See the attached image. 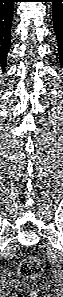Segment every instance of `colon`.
<instances>
[{
    "label": "colon",
    "instance_id": "obj_1",
    "mask_svg": "<svg viewBox=\"0 0 63 297\" xmlns=\"http://www.w3.org/2000/svg\"><path fill=\"white\" fill-rule=\"evenodd\" d=\"M21 270L24 274H31L38 270V262L33 258L27 259L23 263Z\"/></svg>",
    "mask_w": 63,
    "mask_h": 297
}]
</instances>
